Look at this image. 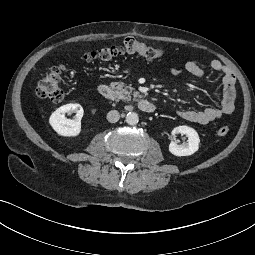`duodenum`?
<instances>
[{"mask_svg": "<svg viewBox=\"0 0 255 255\" xmlns=\"http://www.w3.org/2000/svg\"><path fill=\"white\" fill-rule=\"evenodd\" d=\"M98 90L101 96L107 100H113L116 96L114 90L107 84H100ZM137 106L144 113H152L155 110V105L146 99L139 100Z\"/></svg>", "mask_w": 255, "mask_h": 255, "instance_id": "1", "label": "duodenum"}]
</instances>
